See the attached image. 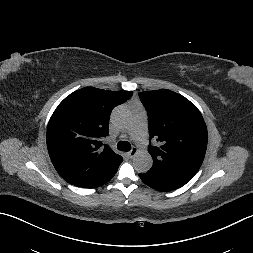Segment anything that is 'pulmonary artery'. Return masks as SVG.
<instances>
[{
	"mask_svg": "<svg viewBox=\"0 0 253 253\" xmlns=\"http://www.w3.org/2000/svg\"><path fill=\"white\" fill-rule=\"evenodd\" d=\"M132 134L136 139L140 140L142 143L146 144V134H145V120L142 119L138 121L132 128Z\"/></svg>",
	"mask_w": 253,
	"mask_h": 253,
	"instance_id": "pulmonary-artery-1",
	"label": "pulmonary artery"
}]
</instances>
